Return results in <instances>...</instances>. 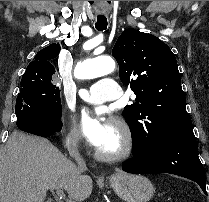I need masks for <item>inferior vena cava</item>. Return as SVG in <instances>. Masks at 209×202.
Here are the masks:
<instances>
[{
  "label": "inferior vena cava",
  "instance_id": "inferior-vena-cava-1",
  "mask_svg": "<svg viewBox=\"0 0 209 202\" xmlns=\"http://www.w3.org/2000/svg\"><path fill=\"white\" fill-rule=\"evenodd\" d=\"M70 156L76 161L77 168L81 171L86 170V162L82 158L79 149H78V141H75L73 145L69 148Z\"/></svg>",
  "mask_w": 209,
  "mask_h": 202
}]
</instances>
